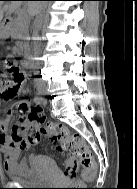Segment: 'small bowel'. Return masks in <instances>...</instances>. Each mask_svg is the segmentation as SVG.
Listing matches in <instances>:
<instances>
[{
	"label": "small bowel",
	"instance_id": "small-bowel-1",
	"mask_svg": "<svg viewBox=\"0 0 137 189\" xmlns=\"http://www.w3.org/2000/svg\"><path fill=\"white\" fill-rule=\"evenodd\" d=\"M21 86V84H20ZM20 88V87H19ZM28 106L27 102L23 101L18 106V112L20 119L18 124L24 127L28 126V121L25 118L24 107ZM13 115V110L9 109L0 118V147L4 156V167L9 171H19L26 169L27 162L25 160H20V153L22 150L27 148V145L16 140L13 134H9V128L11 124V119ZM31 159L34 158L33 155L30 156Z\"/></svg>",
	"mask_w": 137,
	"mask_h": 189
}]
</instances>
